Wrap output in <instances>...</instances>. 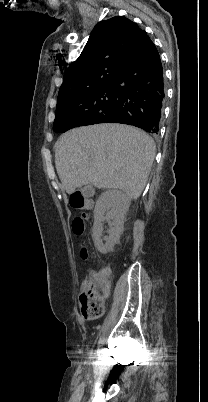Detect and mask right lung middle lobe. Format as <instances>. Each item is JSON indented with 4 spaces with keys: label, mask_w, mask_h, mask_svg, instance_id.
Returning a JSON list of instances; mask_svg holds the SVG:
<instances>
[{
    "label": "right lung middle lobe",
    "mask_w": 208,
    "mask_h": 402,
    "mask_svg": "<svg viewBox=\"0 0 208 402\" xmlns=\"http://www.w3.org/2000/svg\"><path fill=\"white\" fill-rule=\"evenodd\" d=\"M114 81H100L58 96L53 130L61 121L90 119L101 112H109L117 103Z\"/></svg>",
    "instance_id": "1"
}]
</instances>
